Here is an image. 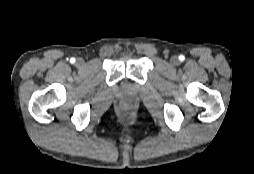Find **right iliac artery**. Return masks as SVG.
<instances>
[{
  "mask_svg": "<svg viewBox=\"0 0 254 174\" xmlns=\"http://www.w3.org/2000/svg\"><path fill=\"white\" fill-rule=\"evenodd\" d=\"M71 63H74L75 62V58H71Z\"/></svg>",
  "mask_w": 254,
  "mask_h": 174,
  "instance_id": "82829eb1",
  "label": "right iliac artery"
}]
</instances>
